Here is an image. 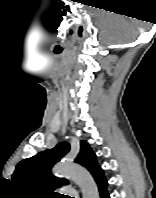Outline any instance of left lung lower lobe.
<instances>
[{
    "label": "left lung lower lobe",
    "instance_id": "obj_1",
    "mask_svg": "<svg viewBox=\"0 0 156 198\" xmlns=\"http://www.w3.org/2000/svg\"><path fill=\"white\" fill-rule=\"evenodd\" d=\"M94 179L96 181V184L100 192V198H110V195L107 192L108 182L106 180L103 170L99 172L98 175Z\"/></svg>",
    "mask_w": 156,
    "mask_h": 198
}]
</instances>
